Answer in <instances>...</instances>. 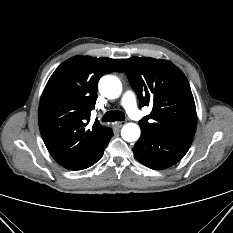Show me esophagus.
Listing matches in <instances>:
<instances>
[{
  "label": "esophagus",
  "instance_id": "1",
  "mask_svg": "<svg viewBox=\"0 0 233 233\" xmlns=\"http://www.w3.org/2000/svg\"><path fill=\"white\" fill-rule=\"evenodd\" d=\"M116 125H117L118 127H122L123 125H125V121L117 122Z\"/></svg>",
  "mask_w": 233,
  "mask_h": 233
}]
</instances>
